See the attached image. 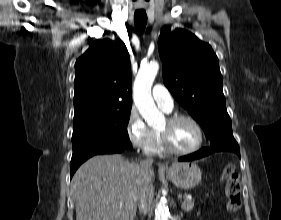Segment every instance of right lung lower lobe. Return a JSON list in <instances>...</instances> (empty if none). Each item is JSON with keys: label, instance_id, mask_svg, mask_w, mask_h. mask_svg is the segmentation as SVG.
<instances>
[{"label": "right lung lower lobe", "instance_id": "98d812e1", "mask_svg": "<svg viewBox=\"0 0 281 220\" xmlns=\"http://www.w3.org/2000/svg\"><path fill=\"white\" fill-rule=\"evenodd\" d=\"M128 148L122 147V146H108V147H102V148H86L82 149L76 153H73L71 163H70V169H71V176L75 173L77 168L88 158L94 156V155H100V154H114V153H121L124 150Z\"/></svg>", "mask_w": 281, "mask_h": 220}]
</instances>
